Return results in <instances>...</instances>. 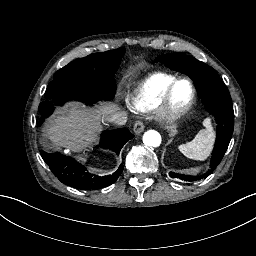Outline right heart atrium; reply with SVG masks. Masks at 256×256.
Returning a JSON list of instances; mask_svg holds the SVG:
<instances>
[{
	"label": "right heart atrium",
	"instance_id": "obj_1",
	"mask_svg": "<svg viewBox=\"0 0 256 256\" xmlns=\"http://www.w3.org/2000/svg\"><path fill=\"white\" fill-rule=\"evenodd\" d=\"M123 104L126 105L128 108H130V106H131V103H130V101H129L128 98H126V99L124 100Z\"/></svg>",
	"mask_w": 256,
	"mask_h": 256
}]
</instances>
